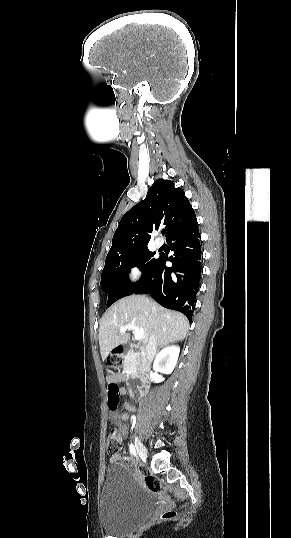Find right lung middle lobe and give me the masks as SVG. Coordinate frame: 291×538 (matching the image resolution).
Masks as SVG:
<instances>
[{
    "label": "right lung middle lobe",
    "mask_w": 291,
    "mask_h": 538,
    "mask_svg": "<svg viewBox=\"0 0 291 538\" xmlns=\"http://www.w3.org/2000/svg\"><path fill=\"white\" fill-rule=\"evenodd\" d=\"M153 256L154 252L145 248L106 259L101 275V287L108 293L107 307L118 299L133 294L144 283L158 260ZM134 266L142 269V277L136 285L128 279L130 269Z\"/></svg>",
    "instance_id": "obj_1"
}]
</instances>
